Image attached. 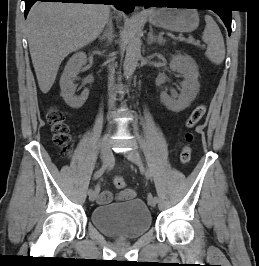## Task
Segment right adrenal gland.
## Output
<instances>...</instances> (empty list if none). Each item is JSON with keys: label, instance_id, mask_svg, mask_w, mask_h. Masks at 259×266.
Masks as SVG:
<instances>
[{"label": "right adrenal gland", "instance_id": "2a0ac1e0", "mask_svg": "<svg viewBox=\"0 0 259 266\" xmlns=\"http://www.w3.org/2000/svg\"><path fill=\"white\" fill-rule=\"evenodd\" d=\"M112 25L111 22H109L107 29L104 31V33L99 36V40L102 41H107L110 43L112 41Z\"/></svg>", "mask_w": 259, "mask_h": 266}]
</instances>
